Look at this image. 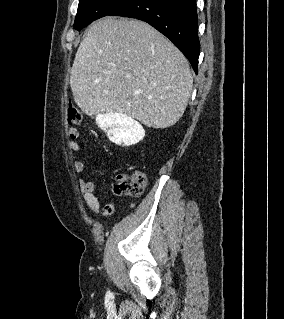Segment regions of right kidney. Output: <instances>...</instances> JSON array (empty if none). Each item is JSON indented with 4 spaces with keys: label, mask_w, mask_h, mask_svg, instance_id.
Wrapping results in <instances>:
<instances>
[{
    "label": "right kidney",
    "mask_w": 284,
    "mask_h": 319,
    "mask_svg": "<svg viewBox=\"0 0 284 319\" xmlns=\"http://www.w3.org/2000/svg\"><path fill=\"white\" fill-rule=\"evenodd\" d=\"M96 120L109 140L117 145H134L145 136L143 127L132 117L122 113L98 115Z\"/></svg>",
    "instance_id": "right-kidney-1"
}]
</instances>
